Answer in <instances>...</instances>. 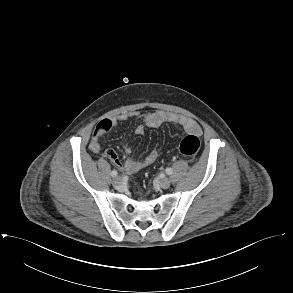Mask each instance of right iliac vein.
I'll use <instances>...</instances> for the list:
<instances>
[{"mask_svg": "<svg viewBox=\"0 0 293 293\" xmlns=\"http://www.w3.org/2000/svg\"><path fill=\"white\" fill-rule=\"evenodd\" d=\"M122 183V178L121 177H116V178H114L113 179V181H112V184L114 185V186H119L120 184Z\"/></svg>", "mask_w": 293, "mask_h": 293, "instance_id": "obj_1", "label": "right iliac vein"}]
</instances>
